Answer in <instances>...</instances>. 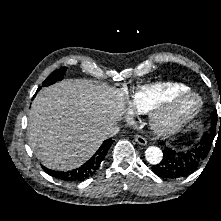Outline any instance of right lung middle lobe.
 I'll return each mask as SVG.
<instances>
[{
  "mask_svg": "<svg viewBox=\"0 0 221 221\" xmlns=\"http://www.w3.org/2000/svg\"><path fill=\"white\" fill-rule=\"evenodd\" d=\"M66 71V67L60 68L59 70H56L52 72L47 79L43 82V86H48L53 83H55L57 80H61L64 76V73Z\"/></svg>",
  "mask_w": 221,
  "mask_h": 221,
  "instance_id": "right-lung-middle-lobe-1",
  "label": "right lung middle lobe"
}]
</instances>
